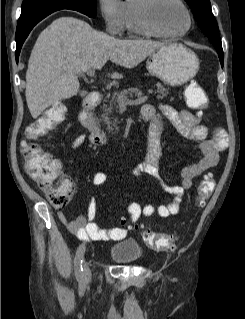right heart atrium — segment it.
Listing matches in <instances>:
<instances>
[{
  "label": "right heart atrium",
  "mask_w": 245,
  "mask_h": 319,
  "mask_svg": "<svg viewBox=\"0 0 245 319\" xmlns=\"http://www.w3.org/2000/svg\"><path fill=\"white\" fill-rule=\"evenodd\" d=\"M99 12L106 31L120 35L124 31L123 2L121 0H98Z\"/></svg>",
  "instance_id": "obj_1"
}]
</instances>
